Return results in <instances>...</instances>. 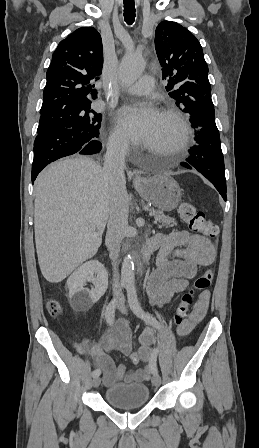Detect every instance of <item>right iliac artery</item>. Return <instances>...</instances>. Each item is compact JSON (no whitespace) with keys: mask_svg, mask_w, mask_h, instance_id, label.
I'll return each instance as SVG.
<instances>
[{"mask_svg":"<svg viewBox=\"0 0 259 448\" xmlns=\"http://www.w3.org/2000/svg\"><path fill=\"white\" fill-rule=\"evenodd\" d=\"M122 287H124V285H122ZM116 304H117V299H113L108 306L106 307V311H105V318L107 323L112 326L114 323V319H115V309H116ZM101 374V370L100 369H95L92 372V376L93 377H97Z\"/></svg>","mask_w":259,"mask_h":448,"instance_id":"1","label":"right iliac artery"}]
</instances>
